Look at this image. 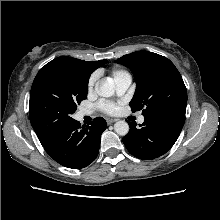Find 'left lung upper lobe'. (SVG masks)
<instances>
[{"label": "left lung upper lobe", "mask_w": 220, "mask_h": 220, "mask_svg": "<svg viewBox=\"0 0 220 220\" xmlns=\"http://www.w3.org/2000/svg\"><path fill=\"white\" fill-rule=\"evenodd\" d=\"M117 63L130 68L137 88L130 102L132 111L148 115L160 109L187 104V91L174 64L164 56L148 51L124 55Z\"/></svg>", "instance_id": "1"}]
</instances>
